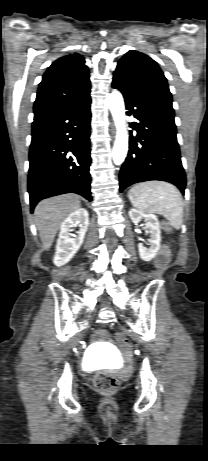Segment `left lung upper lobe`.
I'll list each match as a JSON object with an SVG mask.
<instances>
[{
	"label": "left lung upper lobe",
	"instance_id": "1",
	"mask_svg": "<svg viewBox=\"0 0 208 461\" xmlns=\"http://www.w3.org/2000/svg\"><path fill=\"white\" fill-rule=\"evenodd\" d=\"M113 78L125 87L172 101L167 80L157 62L139 51H128L118 62Z\"/></svg>",
	"mask_w": 208,
	"mask_h": 461
}]
</instances>
